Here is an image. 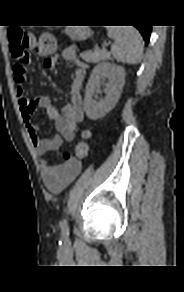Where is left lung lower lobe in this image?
I'll use <instances>...</instances> for the list:
<instances>
[{
	"mask_svg": "<svg viewBox=\"0 0 184 292\" xmlns=\"http://www.w3.org/2000/svg\"><path fill=\"white\" fill-rule=\"evenodd\" d=\"M135 27L140 31L145 40V44L147 45L149 42L151 26L136 25Z\"/></svg>",
	"mask_w": 184,
	"mask_h": 292,
	"instance_id": "obj_1",
	"label": "left lung lower lobe"
}]
</instances>
